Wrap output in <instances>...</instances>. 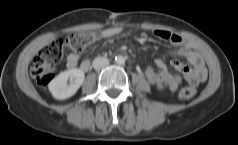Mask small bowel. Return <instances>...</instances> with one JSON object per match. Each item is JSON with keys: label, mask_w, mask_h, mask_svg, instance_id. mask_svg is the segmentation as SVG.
Returning <instances> with one entry per match:
<instances>
[{"label": "small bowel", "mask_w": 238, "mask_h": 145, "mask_svg": "<svg viewBox=\"0 0 238 145\" xmlns=\"http://www.w3.org/2000/svg\"><path fill=\"white\" fill-rule=\"evenodd\" d=\"M121 31L122 29L120 27L107 28L101 32L100 36L102 38H112L120 34ZM154 34L159 39L169 41L175 47L172 53L184 57L193 65L194 68L190 71L188 64L178 60L172 61V65L177 70L185 73V79L191 86H196L206 79L207 70L202 58L196 49L181 35L161 29L155 30ZM66 64L71 69L79 67L82 71H88L91 67L90 60L84 59L80 62V57L77 53H70L66 58ZM155 65L157 69L153 67L146 69V77L149 82L153 84H164L171 91L176 90L181 85L182 78L178 74L169 71L163 59H156Z\"/></svg>", "instance_id": "c3829d8e"}]
</instances>
